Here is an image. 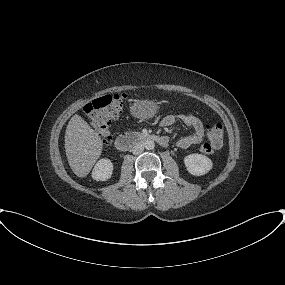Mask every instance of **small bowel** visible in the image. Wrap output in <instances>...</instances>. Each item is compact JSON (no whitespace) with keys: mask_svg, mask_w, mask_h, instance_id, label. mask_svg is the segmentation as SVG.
Here are the masks:
<instances>
[{"mask_svg":"<svg viewBox=\"0 0 285 285\" xmlns=\"http://www.w3.org/2000/svg\"><path fill=\"white\" fill-rule=\"evenodd\" d=\"M176 121L182 122L193 131L192 134L184 136L177 141V146L179 148L186 149L192 145L199 144L204 140L206 135V128L198 117L190 113H177L173 115H167L161 120V125L171 126Z\"/></svg>","mask_w":285,"mask_h":285,"instance_id":"small-bowel-1","label":"small bowel"}]
</instances>
